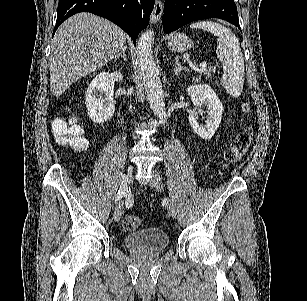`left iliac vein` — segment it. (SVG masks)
<instances>
[{
    "instance_id": "left-iliac-vein-1",
    "label": "left iliac vein",
    "mask_w": 307,
    "mask_h": 301,
    "mask_svg": "<svg viewBox=\"0 0 307 301\" xmlns=\"http://www.w3.org/2000/svg\"><path fill=\"white\" fill-rule=\"evenodd\" d=\"M159 181H160V176L156 172H154L153 173V180L151 182V186L156 191H162V189H163L162 186L159 184ZM168 210H169V214L173 218L177 217V209H176V206H175V204L172 200H169Z\"/></svg>"
}]
</instances>
